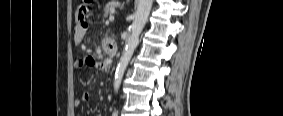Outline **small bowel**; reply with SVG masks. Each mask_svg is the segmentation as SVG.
Masks as SVG:
<instances>
[{"label":"small bowel","mask_w":283,"mask_h":116,"mask_svg":"<svg viewBox=\"0 0 283 116\" xmlns=\"http://www.w3.org/2000/svg\"><path fill=\"white\" fill-rule=\"evenodd\" d=\"M76 23L74 27V42L76 45H81L84 41V38L86 36V22H85V17H86V8L81 6L76 10ZM84 66H95L96 68L106 70L108 68V64L103 61H97L92 57H85L81 60H78L75 63V67L77 69H81ZM92 98V95L89 91H84L81 94V97L79 100H76L75 104L76 106H79L80 102H88Z\"/></svg>","instance_id":"c3829d8e"}]
</instances>
